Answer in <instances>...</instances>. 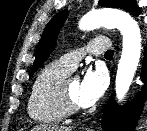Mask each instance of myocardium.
I'll return each instance as SVG.
<instances>
[{
    "label": "myocardium",
    "mask_w": 147,
    "mask_h": 131,
    "mask_svg": "<svg viewBox=\"0 0 147 131\" xmlns=\"http://www.w3.org/2000/svg\"><path fill=\"white\" fill-rule=\"evenodd\" d=\"M71 78L72 77L68 75L63 79L60 85V101L66 115H73L81 110L79 104L73 101L68 91V82Z\"/></svg>",
    "instance_id": "1"
}]
</instances>
